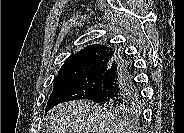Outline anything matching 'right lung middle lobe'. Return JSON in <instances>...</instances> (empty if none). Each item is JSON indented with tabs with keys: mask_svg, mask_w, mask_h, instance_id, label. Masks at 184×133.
I'll return each instance as SVG.
<instances>
[{
	"mask_svg": "<svg viewBox=\"0 0 184 133\" xmlns=\"http://www.w3.org/2000/svg\"><path fill=\"white\" fill-rule=\"evenodd\" d=\"M53 82L54 88L49 97L45 112L66 101L79 99L92 100L102 89L103 74L64 78ZM98 106L111 116L134 117L140 109V101L122 105L100 103Z\"/></svg>",
	"mask_w": 184,
	"mask_h": 133,
	"instance_id": "1",
	"label": "right lung middle lobe"
}]
</instances>
